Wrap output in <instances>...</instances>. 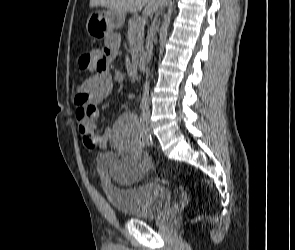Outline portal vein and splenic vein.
Segmentation results:
<instances>
[{
  "mask_svg": "<svg viewBox=\"0 0 295 250\" xmlns=\"http://www.w3.org/2000/svg\"><path fill=\"white\" fill-rule=\"evenodd\" d=\"M146 21H147V16L145 15L144 17L139 18L137 25L138 26L145 25Z\"/></svg>",
  "mask_w": 295,
  "mask_h": 250,
  "instance_id": "1",
  "label": "portal vein and splenic vein"
}]
</instances>
